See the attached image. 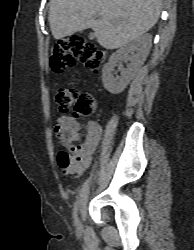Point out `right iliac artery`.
I'll return each mask as SVG.
<instances>
[{
    "mask_svg": "<svg viewBox=\"0 0 194 250\" xmlns=\"http://www.w3.org/2000/svg\"><path fill=\"white\" fill-rule=\"evenodd\" d=\"M78 204H79V201L78 199L75 201L74 203V208H73V218H74V225H76L77 223V216H78Z\"/></svg>",
    "mask_w": 194,
    "mask_h": 250,
    "instance_id": "1",
    "label": "right iliac artery"
}]
</instances>
